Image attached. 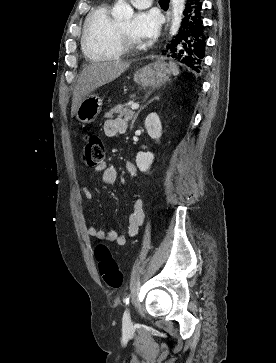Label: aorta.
<instances>
[{
  "instance_id": "obj_1",
  "label": "aorta",
  "mask_w": 276,
  "mask_h": 363,
  "mask_svg": "<svg viewBox=\"0 0 276 363\" xmlns=\"http://www.w3.org/2000/svg\"><path fill=\"white\" fill-rule=\"evenodd\" d=\"M172 4V21L170 27V36L178 33L182 22L183 11L185 9V0H171ZM132 7L124 0H118L112 9V16L116 21L126 22L133 17Z\"/></svg>"
}]
</instances>
